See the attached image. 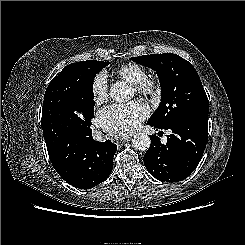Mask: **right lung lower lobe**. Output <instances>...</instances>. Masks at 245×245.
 Returning a JSON list of instances; mask_svg holds the SVG:
<instances>
[{
	"instance_id": "obj_1",
	"label": "right lung lower lobe",
	"mask_w": 245,
	"mask_h": 245,
	"mask_svg": "<svg viewBox=\"0 0 245 245\" xmlns=\"http://www.w3.org/2000/svg\"><path fill=\"white\" fill-rule=\"evenodd\" d=\"M44 139L53 167L74 187L92 188L112 172L117 146L109 140L102 143L95 141L92 130H69Z\"/></svg>"
}]
</instances>
